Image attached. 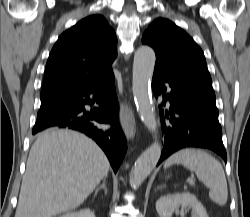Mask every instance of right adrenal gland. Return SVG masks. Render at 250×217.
<instances>
[{"instance_id": "right-adrenal-gland-1", "label": "right adrenal gland", "mask_w": 250, "mask_h": 217, "mask_svg": "<svg viewBox=\"0 0 250 217\" xmlns=\"http://www.w3.org/2000/svg\"><path fill=\"white\" fill-rule=\"evenodd\" d=\"M101 189H103L104 192L107 193V188H106V177L103 179L102 185H100V186L96 189L95 195H94V196H96L97 193H98Z\"/></svg>"}]
</instances>
